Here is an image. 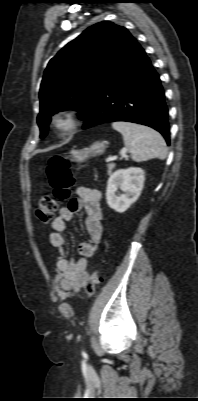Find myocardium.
Returning a JSON list of instances; mask_svg holds the SVG:
<instances>
[{"label": "myocardium", "instance_id": "myocardium-1", "mask_svg": "<svg viewBox=\"0 0 198 401\" xmlns=\"http://www.w3.org/2000/svg\"><path fill=\"white\" fill-rule=\"evenodd\" d=\"M80 125V113L74 108H63L55 112L50 121V127L57 136H66Z\"/></svg>", "mask_w": 198, "mask_h": 401}]
</instances>
